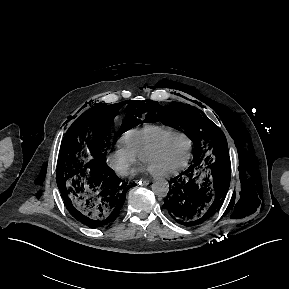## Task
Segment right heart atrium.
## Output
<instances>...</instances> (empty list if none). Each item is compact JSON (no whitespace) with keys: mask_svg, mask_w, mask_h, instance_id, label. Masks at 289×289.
I'll return each mask as SVG.
<instances>
[{"mask_svg":"<svg viewBox=\"0 0 289 289\" xmlns=\"http://www.w3.org/2000/svg\"><path fill=\"white\" fill-rule=\"evenodd\" d=\"M137 162L138 157L120 143L106 155V163L119 176L128 175Z\"/></svg>","mask_w":289,"mask_h":289,"instance_id":"right-heart-atrium-1","label":"right heart atrium"}]
</instances>
